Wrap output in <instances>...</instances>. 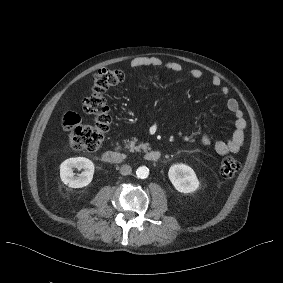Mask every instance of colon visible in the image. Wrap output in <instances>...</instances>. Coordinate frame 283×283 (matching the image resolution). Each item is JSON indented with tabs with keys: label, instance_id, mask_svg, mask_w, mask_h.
<instances>
[{
	"label": "colon",
	"instance_id": "1",
	"mask_svg": "<svg viewBox=\"0 0 283 283\" xmlns=\"http://www.w3.org/2000/svg\"><path fill=\"white\" fill-rule=\"evenodd\" d=\"M125 79V73L116 68H103L94 75L90 91L82 101L83 110L94 118L93 124H83L81 117L74 112L63 116V129L75 150L92 152L100 147L111 120L106 91ZM239 169L240 163L232 157L224 158L219 167L220 174L225 178L234 176Z\"/></svg>",
	"mask_w": 283,
	"mask_h": 283
}]
</instances>
